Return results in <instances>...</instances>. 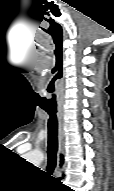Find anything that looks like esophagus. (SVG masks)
<instances>
[{
    "instance_id": "1",
    "label": "esophagus",
    "mask_w": 114,
    "mask_h": 191,
    "mask_svg": "<svg viewBox=\"0 0 114 191\" xmlns=\"http://www.w3.org/2000/svg\"><path fill=\"white\" fill-rule=\"evenodd\" d=\"M58 118H59V142L61 144L62 139H63V119H62L61 111H59V113H58Z\"/></svg>"
}]
</instances>
